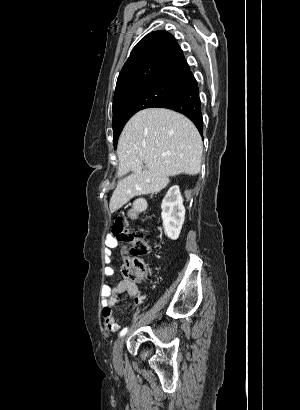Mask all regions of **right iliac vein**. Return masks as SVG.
Here are the masks:
<instances>
[{
  "instance_id": "63e3f726",
  "label": "right iliac vein",
  "mask_w": 300,
  "mask_h": 410,
  "mask_svg": "<svg viewBox=\"0 0 300 410\" xmlns=\"http://www.w3.org/2000/svg\"><path fill=\"white\" fill-rule=\"evenodd\" d=\"M124 338H120L116 341L113 349V361L116 365H119L122 359Z\"/></svg>"
}]
</instances>
